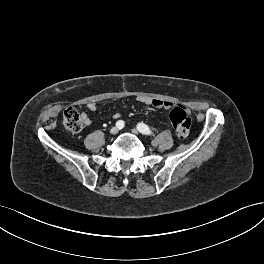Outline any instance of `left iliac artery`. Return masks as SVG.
Here are the masks:
<instances>
[{"label": "left iliac artery", "mask_w": 264, "mask_h": 264, "mask_svg": "<svg viewBox=\"0 0 264 264\" xmlns=\"http://www.w3.org/2000/svg\"><path fill=\"white\" fill-rule=\"evenodd\" d=\"M137 129L144 135H152L153 134L151 129L144 123H139L137 125Z\"/></svg>", "instance_id": "obj_1"}]
</instances>
